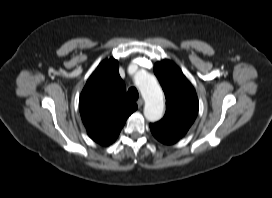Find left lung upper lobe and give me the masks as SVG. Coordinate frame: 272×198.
<instances>
[{
  "label": "left lung upper lobe",
  "mask_w": 272,
  "mask_h": 198,
  "mask_svg": "<svg viewBox=\"0 0 272 198\" xmlns=\"http://www.w3.org/2000/svg\"><path fill=\"white\" fill-rule=\"evenodd\" d=\"M166 97L167 111L155 126L182 137L193 124L198 114V99L195 89L172 61L163 60L154 66Z\"/></svg>",
  "instance_id": "obj_1"
}]
</instances>
